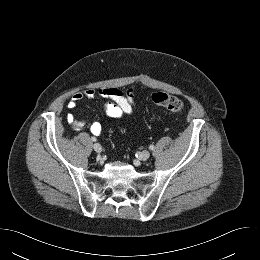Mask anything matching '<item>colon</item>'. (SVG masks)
Returning <instances> with one entry per match:
<instances>
[{"instance_id": "colon-1", "label": "colon", "mask_w": 260, "mask_h": 260, "mask_svg": "<svg viewBox=\"0 0 260 260\" xmlns=\"http://www.w3.org/2000/svg\"><path fill=\"white\" fill-rule=\"evenodd\" d=\"M152 101L156 106L164 108L171 112L176 113L184 109V103L182 100L166 93H162V92L154 93L152 95Z\"/></svg>"}]
</instances>
